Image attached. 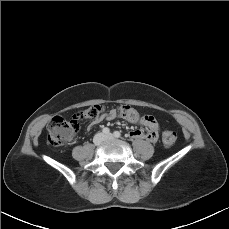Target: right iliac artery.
Masks as SVG:
<instances>
[{"instance_id":"obj_1","label":"right iliac artery","mask_w":229,"mask_h":229,"mask_svg":"<svg viewBox=\"0 0 229 229\" xmlns=\"http://www.w3.org/2000/svg\"><path fill=\"white\" fill-rule=\"evenodd\" d=\"M102 131H103V133L106 134V135H108V134L110 133V130H109V128H107V127L103 128Z\"/></svg>"}]
</instances>
